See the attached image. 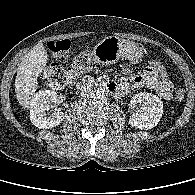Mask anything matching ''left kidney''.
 I'll return each instance as SVG.
<instances>
[{
	"instance_id": "5707ae66",
	"label": "left kidney",
	"mask_w": 195,
	"mask_h": 195,
	"mask_svg": "<svg viewBox=\"0 0 195 195\" xmlns=\"http://www.w3.org/2000/svg\"><path fill=\"white\" fill-rule=\"evenodd\" d=\"M131 106L137 104L142 107L130 116L129 123L138 129H152L157 126L163 114V103L159 97L152 93L140 92L135 94L131 101Z\"/></svg>"
}]
</instances>
